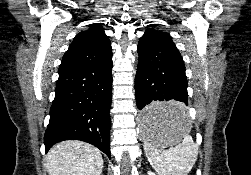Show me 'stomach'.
Segmentation results:
<instances>
[{"label":"stomach","instance_id":"0dacf381","mask_svg":"<svg viewBox=\"0 0 251 175\" xmlns=\"http://www.w3.org/2000/svg\"><path fill=\"white\" fill-rule=\"evenodd\" d=\"M174 105H182V100H156V105L144 107L139 123L143 141H158L157 148H168L169 145H176V143L181 141V134H195V129H179L191 128L188 114H176L179 111H189V106ZM149 134L164 135L149 136Z\"/></svg>","mask_w":251,"mask_h":175}]
</instances>
